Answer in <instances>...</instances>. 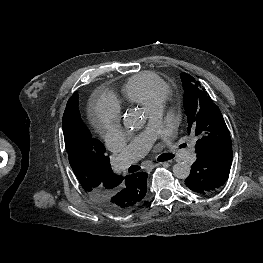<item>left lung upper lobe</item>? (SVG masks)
Returning <instances> with one entry per match:
<instances>
[{
  "mask_svg": "<svg viewBox=\"0 0 263 263\" xmlns=\"http://www.w3.org/2000/svg\"><path fill=\"white\" fill-rule=\"evenodd\" d=\"M184 88V109L188 120V134L197 136L196 153L202 154L223 145H231V137L223 116L198 82L181 73Z\"/></svg>",
  "mask_w": 263,
  "mask_h": 263,
  "instance_id": "1",
  "label": "left lung upper lobe"
}]
</instances>
